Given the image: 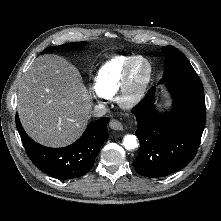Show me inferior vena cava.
<instances>
[{"label": "inferior vena cava", "instance_id": "inferior-vena-cava-1", "mask_svg": "<svg viewBox=\"0 0 221 221\" xmlns=\"http://www.w3.org/2000/svg\"><path fill=\"white\" fill-rule=\"evenodd\" d=\"M107 113V108L103 104H98L94 107L93 115L95 117H102Z\"/></svg>", "mask_w": 221, "mask_h": 221}]
</instances>
